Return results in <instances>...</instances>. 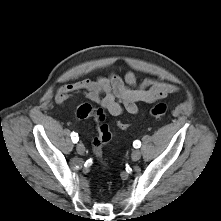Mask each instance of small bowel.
Wrapping results in <instances>:
<instances>
[{
    "label": "small bowel",
    "mask_w": 221,
    "mask_h": 221,
    "mask_svg": "<svg viewBox=\"0 0 221 221\" xmlns=\"http://www.w3.org/2000/svg\"><path fill=\"white\" fill-rule=\"evenodd\" d=\"M176 91L175 85L154 78L138 82L135 73L127 71L123 77L111 73L95 80L84 79L62 85L56 91L55 101L64 105L71 96L83 94L109 114L119 116L124 112L136 114L139 111L138 103H153Z\"/></svg>",
    "instance_id": "small-bowel-1"
}]
</instances>
